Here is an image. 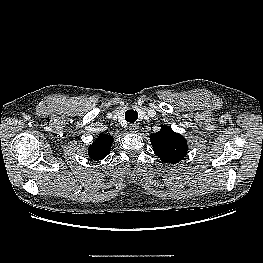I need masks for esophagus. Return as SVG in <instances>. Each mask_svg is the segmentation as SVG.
Masks as SVG:
<instances>
[{
	"label": "esophagus",
	"instance_id": "1",
	"mask_svg": "<svg viewBox=\"0 0 263 263\" xmlns=\"http://www.w3.org/2000/svg\"><path fill=\"white\" fill-rule=\"evenodd\" d=\"M129 129L131 132L136 133V132H138L139 125L136 123H132L129 125Z\"/></svg>",
	"mask_w": 263,
	"mask_h": 263
}]
</instances>
